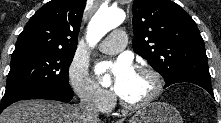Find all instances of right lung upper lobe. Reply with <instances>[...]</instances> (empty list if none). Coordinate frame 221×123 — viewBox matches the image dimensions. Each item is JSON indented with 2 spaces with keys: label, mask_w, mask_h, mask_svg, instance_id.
I'll use <instances>...</instances> for the list:
<instances>
[{
  "label": "right lung upper lobe",
  "mask_w": 221,
  "mask_h": 123,
  "mask_svg": "<svg viewBox=\"0 0 221 123\" xmlns=\"http://www.w3.org/2000/svg\"><path fill=\"white\" fill-rule=\"evenodd\" d=\"M86 0H52L41 7L19 35L14 51L75 52Z\"/></svg>",
  "instance_id": "obj_1"
}]
</instances>
